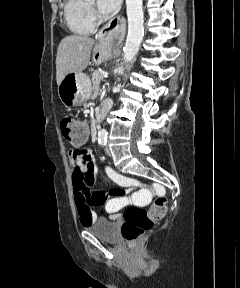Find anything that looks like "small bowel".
I'll list each match as a JSON object with an SVG mask.
<instances>
[{
    "instance_id": "obj_1",
    "label": "small bowel",
    "mask_w": 240,
    "mask_h": 288,
    "mask_svg": "<svg viewBox=\"0 0 240 288\" xmlns=\"http://www.w3.org/2000/svg\"><path fill=\"white\" fill-rule=\"evenodd\" d=\"M85 143L86 139L72 143L73 149L69 152V159L73 166L72 183L76 207L81 223L87 226L97 219L96 212L91 209L92 206H104V211L110 218H117L118 212L130 203V198L125 194L132 191L137 183L106 166L104 168L106 175L120 187L113 188L109 198L101 189V185L92 191L91 186L97 181V167L93 152L84 147Z\"/></svg>"
}]
</instances>
